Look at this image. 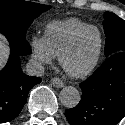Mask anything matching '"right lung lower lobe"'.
I'll return each mask as SVG.
<instances>
[{
  "label": "right lung lower lobe",
  "instance_id": "right-lung-lower-lobe-1",
  "mask_svg": "<svg viewBox=\"0 0 125 125\" xmlns=\"http://www.w3.org/2000/svg\"><path fill=\"white\" fill-rule=\"evenodd\" d=\"M8 39L11 53L7 65L0 71V123L15 119L26 103L30 89L41 82V78L24 74L20 66V55H29L31 47L26 37H17L1 32Z\"/></svg>",
  "mask_w": 125,
  "mask_h": 125
}]
</instances>
